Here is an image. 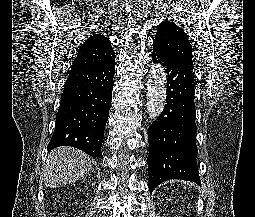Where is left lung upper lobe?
Instances as JSON below:
<instances>
[{
  "label": "left lung upper lobe",
  "mask_w": 255,
  "mask_h": 217,
  "mask_svg": "<svg viewBox=\"0 0 255 217\" xmlns=\"http://www.w3.org/2000/svg\"><path fill=\"white\" fill-rule=\"evenodd\" d=\"M153 47L162 50L174 60L193 68L192 46L185 31L170 21L158 26Z\"/></svg>",
  "instance_id": "obj_1"
}]
</instances>
